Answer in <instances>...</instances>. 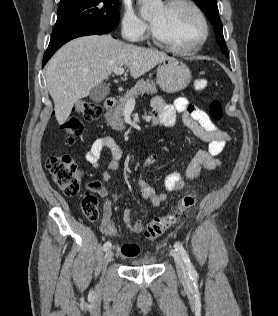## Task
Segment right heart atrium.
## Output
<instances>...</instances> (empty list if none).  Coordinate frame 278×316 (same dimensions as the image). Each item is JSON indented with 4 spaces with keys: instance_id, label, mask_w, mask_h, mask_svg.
I'll return each instance as SVG.
<instances>
[{
    "instance_id": "right-heart-atrium-1",
    "label": "right heart atrium",
    "mask_w": 278,
    "mask_h": 316,
    "mask_svg": "<svg viewBox=\"0 0 278 316\" xmlns=\"http://www.w3.org/2000/svg\"><path fill=\"white\" fill-rule=\"evenodd\" d=\"M121 30L129 41L136 42L145 38L148 25L135 13L131 6H125L121 18Z\"/></svg>"
}]
</instances>
